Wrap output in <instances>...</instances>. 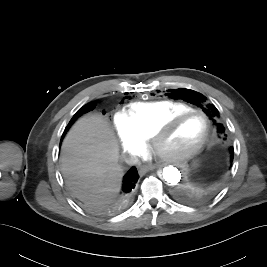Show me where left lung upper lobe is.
I'll use <instances>...</instances> for the list:
<instances>
[{
    "label": "left lung upper lobe",
    "mask_w": 267,
    "mask_h": 267,
    "mask_svg": "<svg viewBox=\"0 0 267 267\" xmlns=\"http://www.w3.org/2000/svg\"><path fill=\"white\" fill-rule=\"evenodd\" d=\"M168 92V97L172 99H181L201 107L210 119H213L219 115V111L214 105L206 104V97L201 93L190 89H170L168 90ZM214 123L216 124L218 133L220 135H223L225 132V128L223 127V125L220 123H216L215 120Z\"/></svg>",
    "instance_id": "left-lung-upper-lobe-1"
}]
</instances>
